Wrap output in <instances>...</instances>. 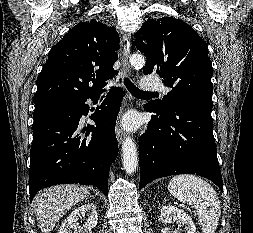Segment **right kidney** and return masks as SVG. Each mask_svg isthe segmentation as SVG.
<instances>
[{
    "label": "right kidney",
    "mask_w": 253,
    "mask_h": 233,
    "mask_svg": "<svg viewBox=\"0 0 253 233\" xmlns=\"http://www.w3.org/2000/svg\"><path fill=\"white\" fill-rule=\"evenodd\" d=\"M88 216L85 225L80 228L77 220L79 217ZM98 214L93 203H87L73 210L61 225L60 233H92V228L97 225Z\"/></svg>",
    "instance_id": "right-kidney-1"
}]
</instances>
